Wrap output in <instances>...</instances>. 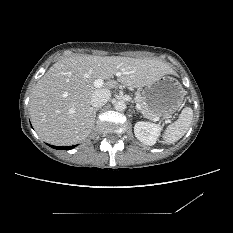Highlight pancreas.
Masks as SVG:
<instances>
[{
  "label": "pancreas",
  "instance_id": "obj_1",
  "mask_svg": "<svg viewBox=\"0 0 233 233\" xmlns=\"http://www.w3.org/2000/svg\"><path fill=\"white\" fill-rule=\"evenodd\" d=\"M135 102L138 103L141 106V112H142L144 117H146L148 119H153L156 116V114H154L149 109L148 105L146 104V102L144 101L142 95L139 92L136 93Z\"/></svg>",
  "mask_w": 233,
  "mask_h": 233
}]
</instances>
